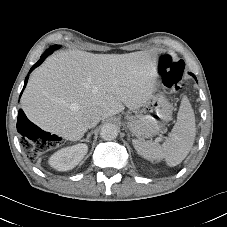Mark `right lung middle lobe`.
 Wrapping results in <instances>:
<instances>
[{"label": "right lung middle lobe", "mask_w": 227, "mask_h": 227, "mask_svg": "<svg viewBox=\"0 0 227 227\" xmlns=\"http://www.w3.org/2000/svg\"><path fill=\"white\" fill-rule=\"evenodd\" d=\"M53 47H54V49H58L60 46L59 45H55Z\"/></svg>", "instance_id": "obj_1"}]
</instances>
